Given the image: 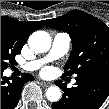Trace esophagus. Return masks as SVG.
Segmentation results:
<instances>
[{"mask_svg": "<svg viewBox=\"0 0 109 109\" xmlns=\"http://www.w3.org/2000/svg\"><path fill=\"white\" fill-rule=\"evenodd\" d=\"M41 83H42V85L45 86V87L51 86V83H49V82L42 81Z\"/></svg>", "mask_w": 109, "mask_h": 109, "instance_id": "esophagus-1", "label": "esophagus"}]
</instances>
